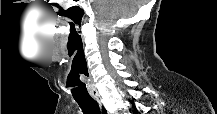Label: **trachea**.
<instances>
[{"label": "trachea", "mask_w": 217, "mask_h": 114, "mask_svg": "<svg viewBox=\"0 0 217 114\" xmlns=\"http://www.w3.org/2000/svg\"><path fill=\"white\" fill-rule=\"evenodd\" d=\"M84 114H100L97 101L93 98L75 99Z\"/></svg>", "instance_id": "1"}]
</instances>
